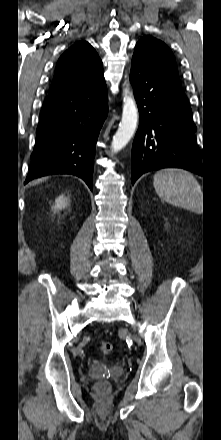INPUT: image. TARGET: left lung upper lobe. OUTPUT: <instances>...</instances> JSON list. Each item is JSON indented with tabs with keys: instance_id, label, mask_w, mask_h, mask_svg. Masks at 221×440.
<instances>
[{
	"instance_id": "left-lung-upper-lobe-1",
	"label": "left lung upper lobe",
	"mask_w": 221,
	"mask_h": 440,
	"mask_svg": "<svg viewBox=\"0 0 221 440\" xmlns=\"http://www.w3.org/2000/svg\"><path fill=\"white\" fill-rule=\"evenodd\" d=\"M154 70L176 81H180L175 57L162 41L151 36L141 38L135 52Z\"/></svg>"
}]
</instances>
